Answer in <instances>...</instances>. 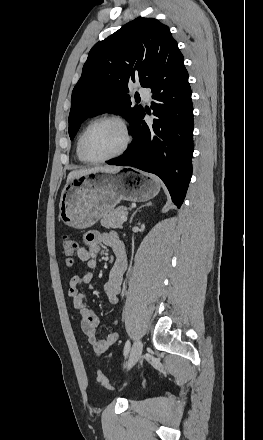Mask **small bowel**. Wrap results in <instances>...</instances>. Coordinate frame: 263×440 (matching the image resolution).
Listing matches in <instances>:
<instances>
[{
    "label": "small bowel",
    "instance_id": "small-bowel-1",
    "mask_svg": "<svg viewBox=\"0 0 263 440\" xmlns=\"http://www.w3.org/2000/svg\"><path fill=\"white\" fill-rule=\"evenodd\" d=\"M85 246L77 249V258L86 263L87 270L71 277L68 295L80 317L81 329L94 354L99 355L110 349L118 339L116 332L109 333L104 339L96 336L99 318L87 303L86 294L80 289L93 279V272L97 268V256L102 244L111 247L115 253V261L111 267L108 281L104 286L105 294L112 305L119 303L120 290L124 274L127 269V255L125 246L119 235L114 232L91 231L84 236ZM117 324V320L114 322Z\"/></svg>",
    "mask_w": 263,
    "mask_h": 440
}]
</instances>
